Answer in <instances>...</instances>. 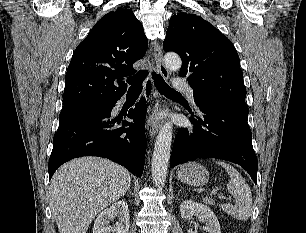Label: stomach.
<instances>
[{
  "label": "stomach",
  "mask_w": 306,
  "mask_h": 233,
  "mask_svg": "<svg viewBox=\"0 0 306 233\" xmlns=\"http://www.w3.org/2000/svg\"><path fill=\"white\" fill-rule=\"evenodd\" d=\"M177 178L188 185L200 187L208 182L209 173L201 164L188 162L178 168Z\"/></svg>",
  "instance_id": "0dacf381"
}]
</instances>
